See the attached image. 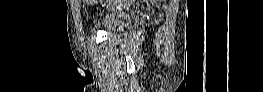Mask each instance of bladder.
Listing matches in <instances>:
<instances>
[{
    "label": "bladder",
    "mask_w": 263,
    "mask_h": 92,
    "mask_svg": "<svg viewBox=\"0 0 263 92\" xmlns=\"http://www.w3.org/2000/svg\"><path fill=\"white\" fill-rule=\"evenodd\" d=\"M131 14L122 10L107 11L95 24V27L106 32L116 31L128 27L131 23Z\"/></svg>",
    "instance_id": "1"
}]
</instances>
